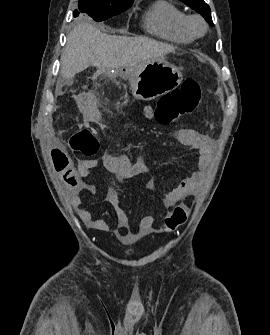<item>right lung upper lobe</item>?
Instances as JSON below:
<instances>
[{"label":"right lung upper lobe","mask_w":270,"mask_h":335,"mask_svg":"<svg viewBox=\"0 0 270 335\" xmlns=\"http://www.w3.org/2000/svg\"><path fill=\"white\" fill-rule=\"evenodd\" d=\"M101 4H127L134 0H97Z\"/></svg>","instance_id":"cb5924a9"}]
</instances>
